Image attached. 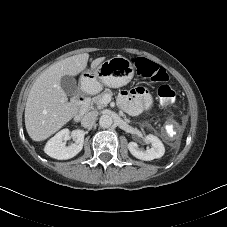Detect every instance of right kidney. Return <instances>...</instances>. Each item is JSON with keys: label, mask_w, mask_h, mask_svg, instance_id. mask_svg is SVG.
Segmentation results:
<instances>
[{"label": "right kidney", "mask_w": 227, "mask_h": 227, "mask_svg": "<svg viewBox=\"0 0 227 227\" xmlns=\"http://www.w3.org/2000/svg\"><path fill=\"white\" fill-rule=\"evenodd\" d=\"M84 131L74 130L71 133L69 129H63L53 136L45 145V153L58 160H66L76 156L83 148L84 144ZM72 137L74 143L66 146L64 141Z\"/></svg>", "instance_id": "ca27d5eb"}]
</instances>
